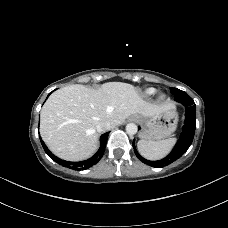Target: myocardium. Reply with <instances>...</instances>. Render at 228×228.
Segmentation results:
<instances>
[{"label": "myocardium", "instance_id": "obj_1", "mask_svg": "<svg viewBox=\"0 0 228 228\" xmlns=\"http://www.w3.org/2000/svg\"><path fill=\"white\" fill-rule=\"evenodd\" d=\"M164 100H166V95L163 94V93L159 94V95H158V101L162 102V101H164Z\"/></svg>", "mask_w": 228, "mask_h": 228}]
</instances>
